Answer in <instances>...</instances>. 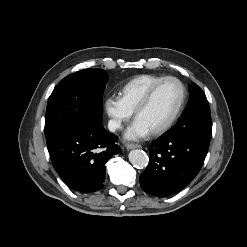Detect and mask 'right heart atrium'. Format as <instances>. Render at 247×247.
Wrapping results in <instances>:
<instances>
[{"label":"right heart atrium","mask_w":247,"mask_h":247,"mask_svg":"<svg viewBox=\"0 0 247 247\" xmlns=\"http://www.w3.org/2000/svg\"><path fill=\"white\" fill-rule=\"evenodd\" d=\"M104 110L108 116L109 128L113 131L121 129L132 115L120 97L114 95L105 98Z\"/></svg>","instance_id":"right-heart-atrium-1"}]
</instances>
